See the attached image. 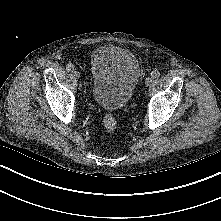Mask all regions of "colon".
<instances>
[{
    "label": "colon",
    "mask_w": 221,
    "mask_h": 221,
    "mask_svg": "<svg viewBox=\"0 0 221 221\" xmlns=\"http://www.w3.org/2000/svg\"><path fill=\"white\" fill-rule=\"evenodd\" d=\"M103 125L105 130L108 133H113L117 128V121L114 115L110 112H107L103 116Z\"/></svg>",
    "instance_id": "1"
}]
</instances>
